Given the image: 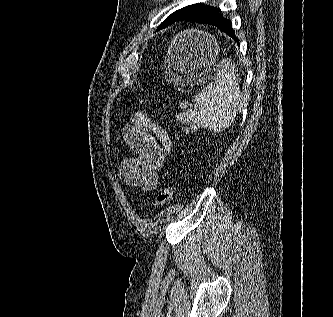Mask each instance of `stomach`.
Masks as SVG:
<instances>
[{
	"mask_svg": "<svg viewBox=\"0 0 333 317\" xmlns=\"http://www.w3.org/2000/svg\"><path fill=\"white\" fill-rule=\"evenodd\" d=\"M191 31L179 33L170 43L167 51V79L176 82L174 95H197V88H204L205 82L214 81V74H222L224 62H217L218 46L215 39L203 32H196L197 25H190Z\"/></svg>",
	"mask_w": 333,
	"mask_h": 317,
	"instance_id": "1",
	"label": "stomach"
}]
</instances>
